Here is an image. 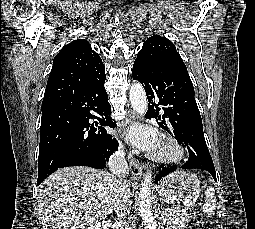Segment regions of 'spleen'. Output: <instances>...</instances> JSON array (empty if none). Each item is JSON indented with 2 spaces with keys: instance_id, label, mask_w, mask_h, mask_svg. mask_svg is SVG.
Wrapping results in <instances>:
<instances>
[{
  "instance_id": "3e777b00",
  "label": "spleen",
  "mask_w": 255,
  "mask_h": 229,
  "mask_svg": "<svg viewBox=\"0 0 255 229\" xmlns=\"http://www.w3.org/2000/svg\"><path fill=\"white\" fill-rule=\"evenodd\" d=\"M216 209V196L213 186H208L205 191L203 212L207 217H212Z\"/></svg>"
}]
</instances>
